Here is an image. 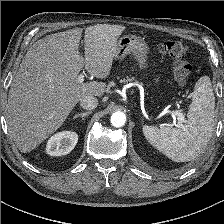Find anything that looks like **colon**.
<instances>
[{
    "instance_id": "colon-1",
    "label": "colon",
    "mask_w": 224,
    "mask_h": 224,
    "mask_svg": "<svg viewBox=\"0 0 224 224\" xmlns=\"http://www.w3.org/2000/svg\"><path fill=\"white\" fill-rule=\"evenodd\" d=\"M159 51L172 60L173 77L179 85L185 86L192 73L187 45L180 40H166L160 44Z\"/></svg>"
}]
</instances>
